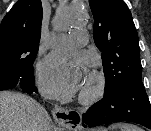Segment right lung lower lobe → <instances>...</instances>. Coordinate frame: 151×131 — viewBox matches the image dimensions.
Masks as SVG:
<instances>
[{
    "label": "right lung lower lobe",
    "mask_w": 151,
    "mask_h": 131,
    "mask_svg": "<svg viewBox=\"0 0 151 131\" xmlns=\"http://www.w3.org/2000/svg\"><path fill=\"white\" fill-rule=\"evenodd\" d=\"M19 87L28 94H32L33 92H37V88L35 87L34 76L27 79H21L18 83H10L8 78L4 76H0V90L11 89Z\"/></svg>",
    "instance_id": "1"
}]
</instances>
